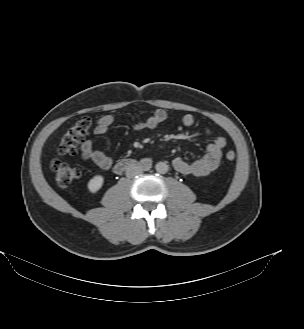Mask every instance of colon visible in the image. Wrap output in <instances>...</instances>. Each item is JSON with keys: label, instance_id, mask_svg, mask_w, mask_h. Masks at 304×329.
I'll return each instance as SVG.
<instances>
[{"label": "colon", "instance_id": "5ec220e1", "mask_svg": "<svg viewBox=\"0 0 304 329\" xmlns=\"http://www.w3.org/2000/svg\"><path fill=\"white\" fill-rule=\"evenodd\" d=\"M92 127V119L83 117L76 121L65 133L61 136L58 145L60 154H73L77 150L78 144ZM225 159L228 163H233L236 159V153L233 150H227ZM51 169L55 175L57 183L66 187L77 180L81 175V170L78 167L70 166L60 160H54L51 164Z\"/></svg>", "mask_w": 304, "mask_h": 329}]
</instances>
